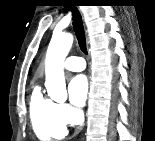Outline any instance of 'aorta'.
<instances>
[{"instance_id":"obj_1","label":"aorta","mask_w":155,"mask_h":141,"mask_svg":"<svg viewBox=\"0 0 155 141\" xmlns=\"http://www.w3.org/2000/svg\"><path fill=\"white\" fill-rule=\"evenodd\" d=\"M73 43L70 33H53L45 60V86L50 98L57 102L67 99L63 64Z\"/></svg>"}]
</instances>
